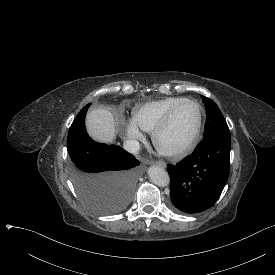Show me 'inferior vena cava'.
Here are the masks:
<instances>
[{"instance_id":"inferior-vena-cava-1","label":"inferior vena cava","mask_w":275,"mask_h":275,"mask_svg":"<svg viewBox=\"0 0 275 275\" xmlns=\"http://www.w3.org/2000/svg\"><path fill=\"white\" fill-rule=\"evenodd\" d=\"M123 147L129 153L136 154L140 148V145L136 140H127L124 142Z\"/></svg>"}]
</instances>
